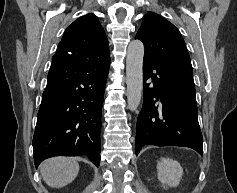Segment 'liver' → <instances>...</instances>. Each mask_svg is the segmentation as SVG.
<instances>
[{"label":"liver","mask_w":237,"mask_h":193,"mask_svg":"<svg viewBox=\"0 0 237 193\" xmlns=\"http://www.w3.org/2000/svg\"><path fill=\"white\" fill-rule=\"evenodd\" d=\"M40 172L48 186L62 188L77 177L79 164L72 158L54 157L40 165Z\"/></svg>","instance_id":"liver-1"}]
</instances>
